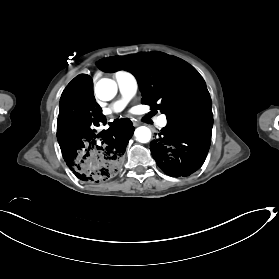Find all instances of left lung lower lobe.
<instances>
[{
    "instance_id": "obj_1",
    "label": "left lung lower lobe",
    "mask_w": 279,
    "mask_h": 279,
    "mask_svg": "<svg viewBox=\"0 0 279 279\" xmlns=\"http://www.w3.org/2000/svg\"><path fill=\"white\" fill-rule=\"evenodd\" d=\"M213 120L188 124H167L160 138L150 144L156 164L172 177L189 176L198 170L206 159Z\"/></svg>"
}]
</instances>
